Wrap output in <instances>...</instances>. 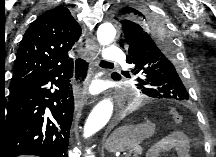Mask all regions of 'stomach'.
I'll return each mask as SVG.
<instances>
[{"label":"stomach","instance_id":"obj_1","mask_svg":"<svg viewBox=\"0 0 216 157\" xmlns=\"http://www.w3.org/2000/svg\"><path fill=\"white\" fill-rule=\"evenodd\" d=\"M155 125L151 123L124 126L114 131L106 141V149L109 152L130 151L142 140L154 134Z\"/></svg>","mask_w":216,"mask_h":157}]
</instances>
